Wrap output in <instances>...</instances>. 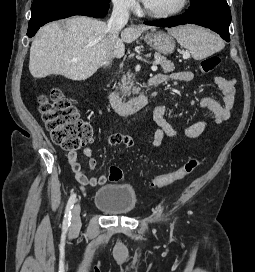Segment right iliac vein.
<instances>
[{"label": "right iliac vein", "mask_w": 255, "mask_h": 272, "mask_svg": "<svg viewBox=\"0 0 255 272\" xmlns=\"http://www.w3.org/2000/svg\"><path fill=\"white\" fill-rule=\"evenodd\" d=\"M80 211H81L80 204L77 203L72 210V218L70 225V232L72 233H76L80 230L81 227Z\"/></svg>", "instance_id": "63e3f726"}]
</instances>
